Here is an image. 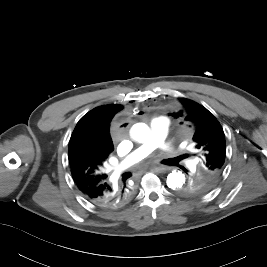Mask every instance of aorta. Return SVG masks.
<instances>
[{
    "label": "aorta",
    "mask_w": 267,
    "mask_h": 267,
    "mask_svg": "<svg viewBox=\"0 0 267 267\" xmlns=\"http://www.w3.org/2000/svg\"><path fill=\"white\" fill-rule=\"evenodd\" d=\"M131 137L140 143L148 141L150 129L145 123H136L131 127ZM167 186L173 190L180 189L185 183V175L181 171L173 170L167 176Z\"/></svg>",
    "instance_id": "aorta-1"
}]
</instances>
